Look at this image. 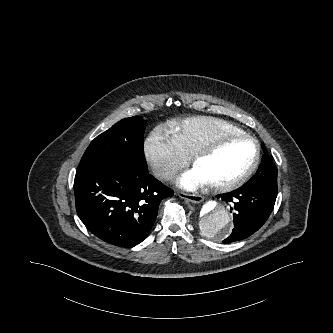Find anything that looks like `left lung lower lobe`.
I'll use <instances>...</instances> for the list:
<instances>
[{
    "label": "left lung lower lobe",
    "instance_id": "obj_1",
    "mask_svg": "<svg viewBox=\"0 0 333 333\" xmlns=\"http://www.w3.org/2000/svg\"><path fill=\"white\" fill-rule=\"evenodd\" d=\"M262 148L266 151L265 146ZM277 197V188L269 186H247L221 194L218 198L231 203L234 211V228L224 243L245 239L262 227L270 216Z\"/></svg>",
    "mask_w": 333,
    "mask_h": 333
}]
</instances>
